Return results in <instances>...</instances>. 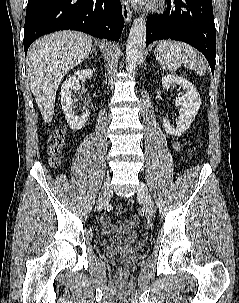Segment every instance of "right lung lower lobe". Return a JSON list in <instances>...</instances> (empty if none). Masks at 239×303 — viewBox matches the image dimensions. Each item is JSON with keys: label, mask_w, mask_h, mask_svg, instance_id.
<instances>
[{"label": "right lung lower lobe", "mask_w": 239, "mask_h": 303, "mask_svg": "<svg viewBox=\"0 0 239 303\" xmlns=\"http://www.w3.org/2000/svg\"><path fill=\"white\" fill-rule=\"evenodd\" d=\"M124 20L120 0H28L24 50L38 37L59 30H77L118 40Z\"/></svg>", "instance_id": "98d812e1"}]
</instances>
